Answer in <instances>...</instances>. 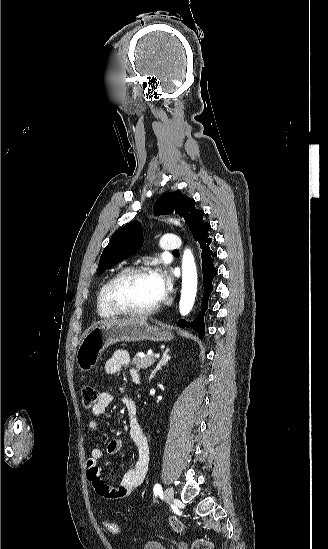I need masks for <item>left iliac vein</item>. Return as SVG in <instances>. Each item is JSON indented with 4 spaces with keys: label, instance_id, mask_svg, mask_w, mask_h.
Here are the masks:
<instances>
[{
    "label": "left iliac vein",
    "instance_id": "1",
    "mask_svg": "<svg viewBox=\"0 0 328 549\" xmlns=\"http://www.w3.org/2000/svg\"><path fill=\"white\" fill-rule=\"evenodd\" d=\"M164 497L168 505L171 504L174 500L173 492L169 488L165 490Z\"/></svg>",
    "mask_w": 328,
    "mask_h": 549
}]
</instances>
